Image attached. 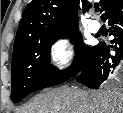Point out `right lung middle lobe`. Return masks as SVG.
Here are the masks:
<instances>
[{
  "label": "right lung middle lobe",
  "mask_w": 123,
  "mask_h": 113,
  "mask_svg": "<svg viewBox=\"0 0 123 113\" xmlns=\"http://www.w3.org/2000/svg\"><path fill=\"white\" fill-rule=\"evenodd\" d=\"M68 36L72 37V43L77 42V59L68 69L60 71L49 63L50 47L59 38ZM93 49L94 47L82 42L78 29L43 36L15 47L11 64V99L18 102L38 89L55 86L70 79L82 71Z\"/></svg>",
  "instance_id": "obj_1"
}]
</instances>
